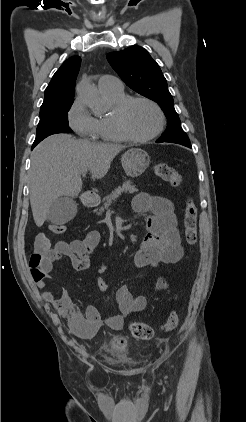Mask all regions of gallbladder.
Returning a JSON list of instances; mask_svg holds the SVG:
<instances>
[{
	"instance_id": "gallbladder-1",
	"label": "gallbladder",
	"mask_w": 246,
	"mask_h": 422,
	"mask_svg": "<svg viewBox=\"0 0 246 422\" xmlns=\"http://www.w3.org/2000/svg\"><path fill=\"white\" fill-rule=\"evenodd\" d=\"M77 213V204L72 197L61 196L51 205L47 220L56 225L66 224Z\"/></svg>"
}]
</instances>
